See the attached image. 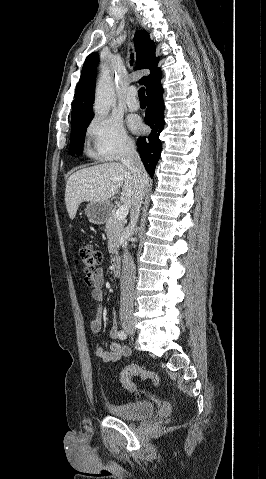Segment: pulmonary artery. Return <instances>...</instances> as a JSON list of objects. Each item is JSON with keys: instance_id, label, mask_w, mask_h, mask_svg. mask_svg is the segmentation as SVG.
I'll return each mask as SVG.
<instances>
[{"instance_id": "e3ab8cb5", "label": "pulmonary artery", "mask_w": 266, "mask_h": 479, "mask_svg": "<svg viewBox=\"0 0 266 479\" xmlns=\"http://www.w3.org/2000/svg\"><path fill=\"white\" fill-rule=\"evenodd\" d=\"M126 105L131 111H136L140 107L139 101L136 98V91L134 88H130L127 91Z\"/></svg>"}]
</instances>
